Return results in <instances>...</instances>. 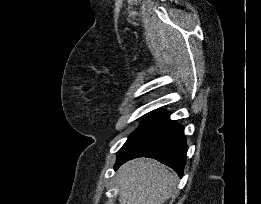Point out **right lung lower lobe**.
<instances>
[{
    "mask_svg": "<svg viewBox=\"0 0 261 204\" xmlns=\"http://www.w3.org/2000/svg\"><path fill=\"white\" fill-rule=\"evenodd\" d=\"M187 149L183 126L170 120L168 112L156 111L129 136L118 151L114 169L130 159L150 157L182 176Z\"/></svg>",
    "mask_w": 261,
    "mask_h": 204,
    "instance_id": "obj_1",
    "label": "right lung lower lobe"
}]
</instances>
